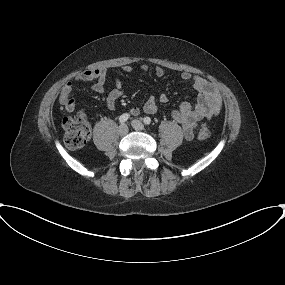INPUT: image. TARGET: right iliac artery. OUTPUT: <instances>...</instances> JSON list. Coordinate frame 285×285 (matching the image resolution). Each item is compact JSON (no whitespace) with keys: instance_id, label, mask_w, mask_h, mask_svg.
Listing matches in <instances>:
<instances>
[{"instance_id":"1","label":"right iliac artery","mask_w":285,"mask_h":285,"mask_svg":"<svg viewBox=\"0 0 285 285\" xmlns=\"http://www.w3.org/2000/svg\"><path fill=\"white\" fill-rule=\"evenodd\" d=\"M130 115L125 113V114H122L120 117H119V121L120 123H125L128 119H129Z\"/></svg>"}]
</instances>
